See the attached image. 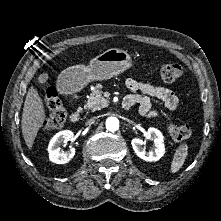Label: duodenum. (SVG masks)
<instances>
[{
  "label": "duodenum",
  "instance_id": "obj_1",
  "mask_svg": "<svg viewBox=\"0 0 221 221\" xmlns=\"http://www.w3.org/2000/svg\"><path fill=\"white\" fill-rule=\"evenodd\" d=\"M61 91H62L65 95H67V96H69V97H72V95H73L72 89L69 88V87H67V86H64V85L61 86ZM122 108H123L124 110H128V109H129V106L123 104V105H122ZM81 115H82V110H81L80 108H78V109H76L75 111H73V113H72L71 116H70V119H71L72 122H78V121L80 120V118H81Z\"/></svg>",
  "mask_w": 221,
  "mask_h": 221
}]
</instances>
